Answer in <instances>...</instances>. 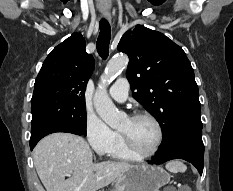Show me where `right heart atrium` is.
I'll use <instances>...</instances> for the list:
<instances>
[{
  "mask_svg": "<svg viewBox=\"0 0 233 191\" xmlns=\"http://www.w3.org/2000/svg\"><path fill=\"white\" fill-rule=\"evenodd\" d=\"M85 134L92 149L100 156L109 155L120 138L116 131L93 114L86 117Z\"/></svg>",
  "mask_w": 233,
  "mask_h": 191,
  "instance_id": "obj_1",
  "label": "right heart atrium"
}]
</instances>
